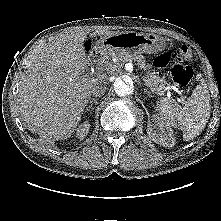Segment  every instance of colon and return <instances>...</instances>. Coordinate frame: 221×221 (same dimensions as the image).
<instances>
[{"instance_id":"obj_1","label":"colon","mask_w":221,"mask_h":221,"mask_svg":"<svg viewBox=\"0 0 221 221\" xmlns=\"http://www.w3.org/2000/svg\"><path fill=\"white\" fill-rule=\"evenodd\" d=\"M168 59V54L160 55L155 58L154 64L156 66H164L168 62ZM193 59L192 50L188 46H182L177 55V62L172 65L170 70L171 76L177 85L185 86L191 81L193 71L189 66L184 65V63H189Z\"/></svg>"}]
</instances>
